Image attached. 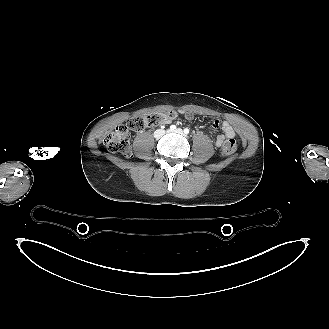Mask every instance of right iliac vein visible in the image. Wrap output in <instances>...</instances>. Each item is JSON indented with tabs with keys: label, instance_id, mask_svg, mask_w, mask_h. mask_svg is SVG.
<instances>
[{
	"label": "right iliac vein",
	"instance_id": "63e3f726",
	"mask_svg": "<svg viewBox=\"0 0 329 329\" xmlns=\"http://www.w3.org/2000/svg\"><path fill=\"white\" fill-rule=\"evenodd\" d=\"M164 133H165L164 130H158V131L156 132V136H161V135H163Z\"/></svg>",
	"mask_w": 329,
	"mask_h": 329
}]
</instances>
